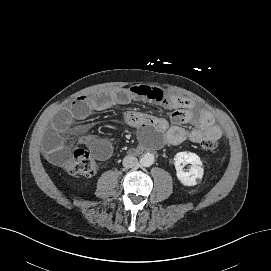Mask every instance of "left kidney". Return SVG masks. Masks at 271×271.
Listing matches in <instances>:
<instances>
[{
  "label": "left kidney",
  "mask_w": 271,
  "mask_h": 271,
  "mask_svg": "<svg viewBox=\"0 0 271 271\" xmlns=\"http://www.w3.org/2000/svg\"><path fill=\"white\" fill-rule=\"evenodd\" d=\"M187 163L191 164V168L189 171L185 172L183 170V165ZM174 167L176 169V175L178 180L184 186L196 185L197 180L202 179L204 174L200 157L197 154L191 152L177 153L174 156Z\"/></svg>",
  "instance_id": "left-kidney-1"
}]
</instances>
